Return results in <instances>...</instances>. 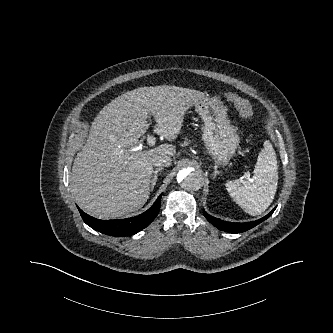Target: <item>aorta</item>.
Instances as JSON below:
<instances>
[{
	"instance_id": "762f6f07",
	"label": "aorta",
	"mask_w": 333,
	"mask_h": 333,
	"mask_svg": "<svg viewBox=\"0 0 333 333\" xmlns=\"http://www.w3.org/2000/svg\"><path fill=\"white\" fill-rule=\"evenodd\" d=\"M177 181L186 191H197L204 183L202 174L193 168H184L177 174Z\"/></svg>"
}]
</instances>
